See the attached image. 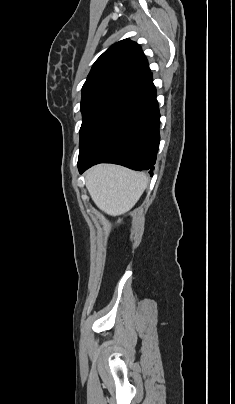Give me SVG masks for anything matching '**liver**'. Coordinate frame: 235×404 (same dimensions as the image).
I'll return each instance as SVG.
<instances>
[{"instance_id": "1", "label": "liver", "mask_w": 235, "mask_h": 404, "mask_svg": "<svg viewBox=\"0 0 235 404\" xmlns=\"http://www.w3.org/2000/svg\"><path fill=\"white\" fill-rule=\"evenodd\" d=\"M86 187L96 206L111 216L134 207L147 187L146 175L122 166L100 164L86 172Z\"/></svg>"}]
</instances>
